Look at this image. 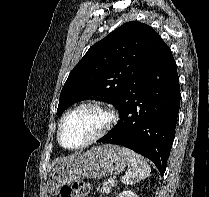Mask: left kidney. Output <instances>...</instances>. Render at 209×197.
Returning a JSON list of instances; mask_svg holds the SVG:
<instances>
[{
    "instance_id": "obj_1",
    "label": "left kidney",
    "mask_w": 209,
    "mask_h": 197,
    "mask_svg": "<svg viewBox=\"0 0 209 197\" xmlns=\"http://www.w3.org/2000/svg\"><path fill=\"white\" fill-rule=\"evenodd\" d=\"M117 197H138V195L130 190L121 192Z\"/></svg>"
}]
</instances>
